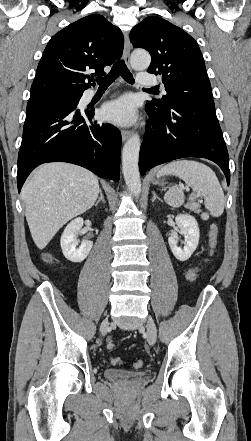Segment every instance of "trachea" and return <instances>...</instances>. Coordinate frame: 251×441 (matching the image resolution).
Wrapping results in <instances>:
<instances>
[{"label":"trachea","instance_id":"3493384b","mask_svg":"<svg viewBox=\"0 0 251 441\" xmlns=\"http://www.w3.org/2000/svg\"><path fill=\"white\" fill-rule=\"evenodd\" d=\"M119 75H121L127 83L134 84V78L123 60L116 62L106 76L97 78L96 81L100 88L108 87Z\"/></svg>","mask_w":251,"mask_h":441}]
</instances>
